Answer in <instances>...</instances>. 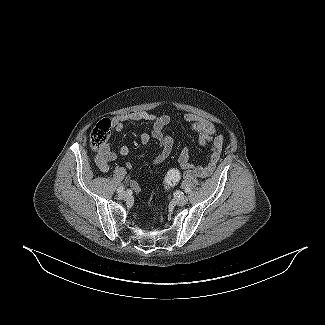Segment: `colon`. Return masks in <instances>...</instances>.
<instances>
[{
  "instance_id": "1",
  "label": "colon",
  "mask_w": 325,
  "mask_h": 325,
  "mask_svg": "<svg viewBox=\"0 0 325 325\" xmlns=\"http://www.w3.org/2000/svg\"><path fill=\"white\" fill-rule=\"evenodd\" d=\"M112 131V123L109 119H103L93 128L90 134L89 142L93 149L100 150L108 142ZM181 178L178 169L170 168L164 176V185L167 188L176 185Z\"/></svg>"
}]
</instances>
